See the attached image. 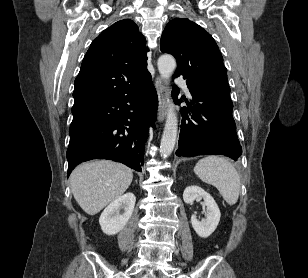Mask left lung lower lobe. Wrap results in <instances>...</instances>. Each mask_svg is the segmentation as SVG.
Segmentation results:
<instances>
[{"label": "left lung lower lobe", "mask_w": 308, "mask_h": 278, "mask_svg": "<svg viewBox=\"0 0 308 278\" xmlns=\"http://www.w3.org/2000/svg\"><path fill=\"white\" fill-rule=\"evenodd\" d=\"M189 90L192 95L191 105H195L181 110V131L176 155L191 157L218 154L237 160L242 154V148L232 116L233 103L227 77ZM172 95L176 104L182 102L177 99L176 87Z\"/></svg>", "instance_id": "0a47b994"}]
</instances>
